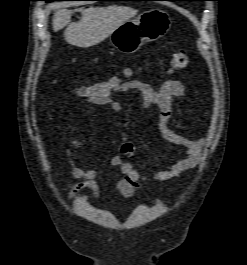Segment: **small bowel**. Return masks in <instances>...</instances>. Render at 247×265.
Returning a JSON list of instances; mask_svg holds the SVG:
<instances>
[{"mask_svg":"<svg viewBox=\"0 0 247 265\" xmlns=\"http://www.w3.org/2000/svg\"><path fill=\"white\" fill-rule=\"evenodd\" d=\"M163 73H172L171 70ZM129 91L139 93L142 100V107L148 109L152 106L159 111V119L163 136L169 142L178 147V152L182 156L169 169L160 170L150 176L143 175L135 169L130 162H127L120 155L113 156L109 162V167H117L122 173V177L110 183L104 180V168L96 167L84 169L75 165L70 156V149L79 151L83 145L79 140L71 139L69 147L65 149V158L72 178L79 182L69 192V197H73L84 189L91 191V197L96 199L100 196L101 186H108L118 191L124 198H132L141 183L146 180L167 181L179 176L184 171L194 168L200 161L205 139H192L178 134L170 126V119L173 113V98L186 97L188 95L187 87L179 80L170 79L165 81L160 87L155 88L151 84L141 80L125 81L119 87L117 93L123 94ZM115 112H122L123 107L118 101L111 99L106 105ZM123 139L127 140V134L122 133Z\"/></svg>","mask_w":247,"mask_h":265,"instance_id":"small-bowel-1","label":"small bowel"}]
</instances>
